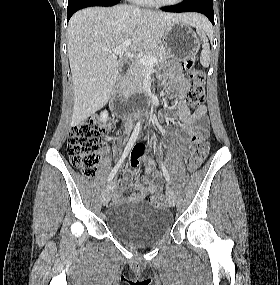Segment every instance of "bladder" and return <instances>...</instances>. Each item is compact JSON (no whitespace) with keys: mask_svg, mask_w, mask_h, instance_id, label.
<instances>
[{"mask_svg":"<svg viewBox=\"0 0 280 285\" xmlns=\"http://www.w3.org/2000/svg\"><path fill=\"white\" fill-rule=\"evenodd\" d=\"M170 212L145 201L120 202L106 212V226L116 237L134 244L156 242L172 227Z\"/></svg>","mask_w":280,"mask_h":285,"instance_id":"1","label":"bladder"}]
</instances>
